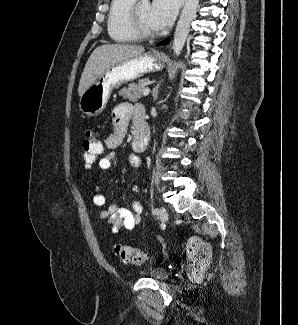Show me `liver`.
Instances as JSON below:
<instances>
[{"label":"liver","instance_id":"liver-1","mask_svg":"<svg viewBox=\"0 0 298 325\" xmlns=\"http://www.w3.org/2000/svg\"><path fill=\"white\" fill-rule=\"evenodd\" d=\"M145 52V46L137 44H100L91 52L80 76L78 96L85 92L96 78L102 76L110 64H118L126 58H133Z\"/></svg>","mask_w":298,"mask_h":325}]
</instances>
